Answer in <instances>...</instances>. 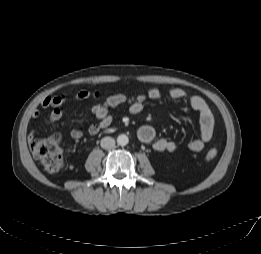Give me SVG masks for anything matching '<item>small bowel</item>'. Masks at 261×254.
Instances as JSON below:
<instances>
[{
    "instance_id": "obj_1",
    "label": "small bowel",
    "mask_w": 261,
    "mask_h": 254,
    "mask_svg": "<svg viewBox=\"0 0 261 254\" xmlns=\"http://www.w3.org/2000/svg\"><path fill=\"white\" fill-rule=\"evenodd\" d=\"M163 96L161 89L152 87L145 93L137 96H128L123 93L113 94L108 96L105 100L100 101L101 93L99 91L82 90L75 94H62L56 96H47L41 102V107L44 109H51L48 117V122L54 124L59 121L63 115L62 106L69 102H85L89 99L98 100L97 102L89 104V109L93 113L96 122L87 128V133L96 135L101 130L110 126L113 113L122 109H127L132 115H139L144 103L147 100L157 101ZM168 98L175 101H185L188 105L197 112L199 116L201 134L200 137L192 140L188 147L190 150L199 152L204 149L214 137V118L206 104V102L199 96L192 95L181 88H173L167 94ZM33 118L40 116V111L37 109L32 113ZM85 130L82 128H74L71 131V136L74 139L83 137ZM139 140L145 144H152L153 148L158 152H175L179 149L177 141L168 140L163 137H157L155 129L150 125H143L138 130ZM32 140V133L29 134V141Z\"/></svg>"
}]
</instances>
